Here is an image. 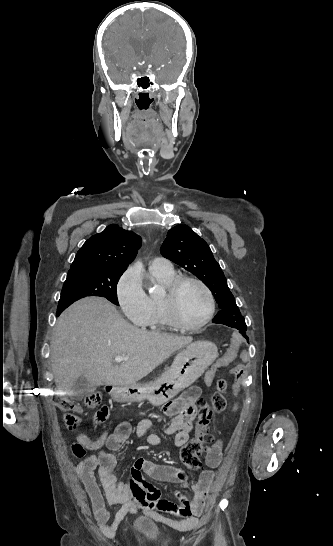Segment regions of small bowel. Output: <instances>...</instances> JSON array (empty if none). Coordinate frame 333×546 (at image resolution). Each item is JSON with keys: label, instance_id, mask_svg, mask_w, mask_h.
I'll return each mask as SVG.
<instances>
[{"label": "small bowel", "instance_id": "1", "mask_svg": "<svg viewBox=\"0 0 333 546\" xmlns=\"http://www.w3.org/2000/svg\"><path fill=\"white\" fill-rule=\"evenodd\" d=\"M229 341L216 361L211 363V368L205 376L203 385L208 387L215 374L226 372L229 365L234 361H245L247 355L238 354L237 348L242 344L240 332H233ZM198 396L196 388L190 389L181 398L165 404L164 412L171 416V422L164 428L168 434H175L174 446L182 447L188 442L192 431V422L196 416V409L193 401ZM184 403L181 407V403ZM237 411L235 408L232 410ZM152 426L151 421L142 420L136 427V434L145 438L150 445L162 444V439L148 430ZM131 428L127 424H121L112 433H103L97 439H91L87 435H80L77 441L72 444V453L80 459L75 467L81 483L86 489L95 520L101 532L111 538L127 514H135L139 510L151 515L157 521L177 531L186 532L194 530L199 525V515L206 507L210 487L214 478L212 470L207 469L199 473L197 479L187 483L185 473L175 467L160 465L152 461L139 458L132 468L130 481L119 480L115 474L117 458L111 452H103L99 455H89L88 451H94L105 446L109 451L118 450L128 439ZM223 444L216 440L210 447L206 456V465L215 468L221 461ZM97 471L99 483L95 477ZM142 473L157 481H168L187 484L194 494L192 501L185 503L183 497L179 503H172L159 498V492L150 485L142 476ZM101 489L104 491L102 494ZM109 505H120L114 520L109 523ZM174 514L180 519L175 520L167 516Z\"/></svg>", "mask_w": 333, "mask_h": 546}]
</instances>
